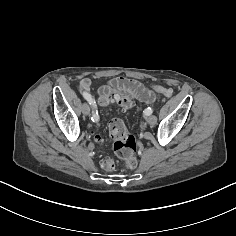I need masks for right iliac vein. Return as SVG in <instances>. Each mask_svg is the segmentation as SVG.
Returning <instances> with one entry per match:
<instances>
[{
	"label": "right iliac vein",
	"mask_w": 236,
	"mask_h": 236,
	"mask_svg": "<svg viewBox=\"0 0 236 236\" xmlns=\"http://www.w3.org/2000/svg\"><path fill=\"white\" fill-rule=\"evenodd\" d=\"M81 111H82V113H83L84 115H89V113H90V107H89V105H88L87 103H83V104L81 105Z\"/></svg>",
	"instance_id": "63e3f726"
}]
</instances>
